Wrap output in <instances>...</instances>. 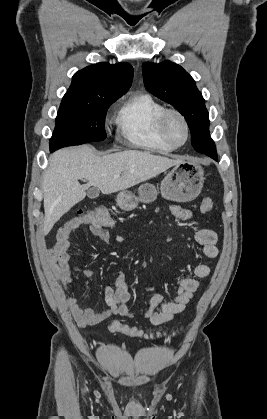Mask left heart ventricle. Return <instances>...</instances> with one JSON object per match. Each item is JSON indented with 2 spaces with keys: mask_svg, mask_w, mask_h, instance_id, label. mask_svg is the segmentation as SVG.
Here are the masks:
<instances>
[{
  "mask_svg": "<svg viewBox=\"0 0 267 419\" xmlns=\"http://www.w3.org/2000/svg\"><path fill=\"white\" fill-rule=\"evenodd\" d=\"M167 132L171 140L176 144L182 143L185 139V128L180 119L176 116H171L169 118Z\"/></svg>",
  "mask_w": 267,
  "mask_h": 419,
  "instance_id": "obj_1",
  "label": "left heart ventricle"
}]
</instances>
